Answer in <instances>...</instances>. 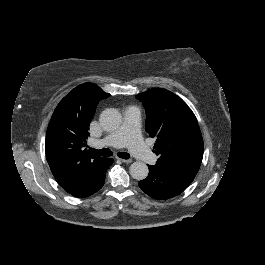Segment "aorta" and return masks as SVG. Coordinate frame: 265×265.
<instances>
[{"instance_id":"1","label":"aorta","mask_w":265,"mask_h":265,"mask_svg":"<svg viewBox=\"0 0 265 265\" xmlns=\"http://www.w3.org/2000/svg\"><path fill=\"white\" fill-rule=\"evenodd\" d=\"M100 123L106 130H113L120 126L122 121L121 113L116 108H106L100 114ZM148 166L141 161L131 164L129 173L136 180H143L148 176Z\"/></svg>"}]
</instances>
